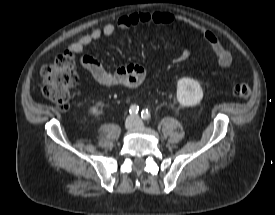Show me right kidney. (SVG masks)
Wrapping results in <instances>:
<instances>
[{
  "label": "right kidney",
  "mask_w": 275,
  "mask_h": 215,
  "mask_svg": "<svg viewBox=\"0 0 275 215\" xmlns=\"http://www.w3.org/2000/svg\"><path fill=\"white\" fill-rule=\"evenodd\" d=\"M102 105H103L102 102H98V103L96 104V106H94V107L91 108V113H92V114H97V113H98V108H99L100 106H102Z\"/></svg>",
  "instance_id": "right-kidney-1"
}]
</instances>
